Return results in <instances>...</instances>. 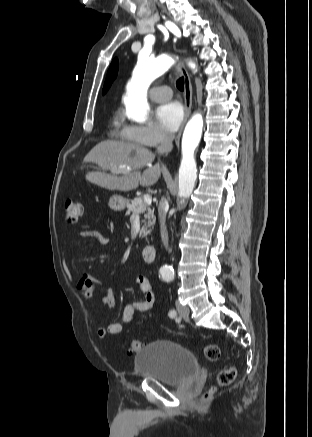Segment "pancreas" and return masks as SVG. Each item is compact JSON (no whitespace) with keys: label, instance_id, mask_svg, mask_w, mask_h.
Returning <instances> with one entry per match:
<instances>
[{"label":"pancreas","instance_id":"1","mask_svg":"<svg viewBox=\"0 0 312 437\" xmlns=\"http://www.w3.org/2000/svg\"><path fill=\"white\" fill-rule=\"evenodd\" d=\"M127 207L128 211L126 215L130 213L144 214V220H142L144 225L140 230L139 237H146L151 232L148 228L155 224L154 210L149 207V204H147L142 197L134 198L131 203H128Z\"/></svg>","mask_w":312,"mask_h":437}]
</instances>
